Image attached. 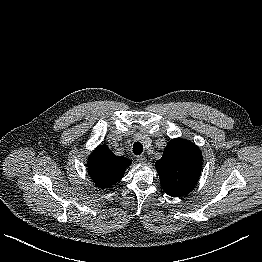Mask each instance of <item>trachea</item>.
I'll return each instance as SVG.
<instances>
[{
	"mask_svg": "<svg viewBox=\"0 0 262 262\" xmlns=\"http://www.w3.org/2000/svg\"><path fill=\"white\" fill-rule=\"evenodd\" d=\"M143 152V145L140 142H135L133 145V153L140 155Z\"/></svg>",
	"mask_w": 262,
	"mask_h": 262,
	"instance_id": "1",
	"label": "trachea"
}]
</instances>
